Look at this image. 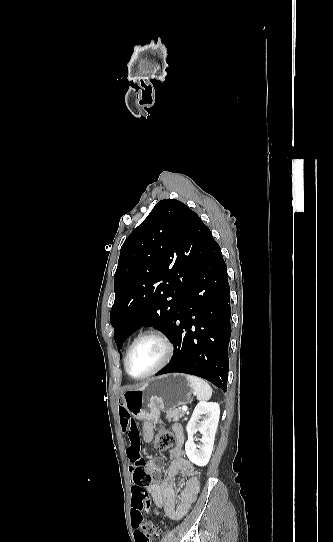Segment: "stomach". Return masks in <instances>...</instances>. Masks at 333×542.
<instances>
[{
    "label": "stomach",
    "mask_w": 333,
    "mask_h": 542,
    "mask_svg": "<svg viewBox=\"0 0 333 542\" xmlns=\"http://www.w3.org/2000/svg\"><path fill=\"white\" fill-rule=\"evenodd\" d=\"M192 394L184 374H165L151 378L137 390H127L121 398L131 416L157 424L161 412L189 404Z\"/></svg>",
    "instance_id": "stomach-1"
}]
</instances>
